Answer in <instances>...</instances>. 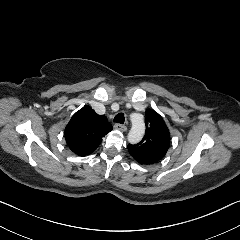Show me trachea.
I'll use <instances>...</instances> for the list:
<instances>
[{"label":"trachea","instance_id":"1","mask_svg":"<svg viewBox=\"0 0 240 240\" xmlns=\"http://www.w3.org/2000/svg\"><path fill=\"white\" fill-rule=\"evenodd\" d=\"M124 121H125V115H124V113H119V114H117V115L114 117V122L123 124Z\"/></svg>","mask_w":240,"mask_h":240}]
</instances>
